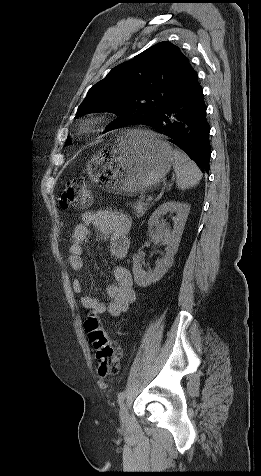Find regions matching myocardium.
I'll return each mask as SVG.
<instances>
[{
  "label": "myocardium",
  "mask_w": 261,
  "mask_h": 476,
  "mask_svg": "<svg viewBox=\"0 0 261 476\" xmlns=\"http://www.w3.org/2000/svg\"><path fill=\"white\" fill-rule=\"evenodd\" d=\"M102 122L101 118H90L84 120L79 128L82 133H88L93 131L96 127H98Z\"/></svg>",
  "instance_id": "obj_1"
}]
</instances>
